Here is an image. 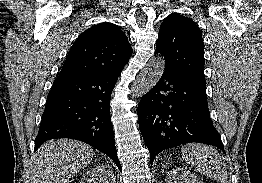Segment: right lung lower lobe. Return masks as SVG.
I'll return each mask as SVG.
<instances>
[{
  "label": "right lung lower lobe",
  "mask_w": 262,
  "mask_h": 183,
  "mask_svg": "<svg viewBox=\"0 0 262 183\" xmlns=\"http://www.w3.org/2000/svg\"><path fill=\"white\" fill-rule=\"evenodd\" d=\"M120 74L57 77L47 97L35 150L50 139L72 138L107 154L120 168L109 107Z\"/></svg>",
  "instance_id": "right-lung-lower-lobe-1"
}]
</instances>
